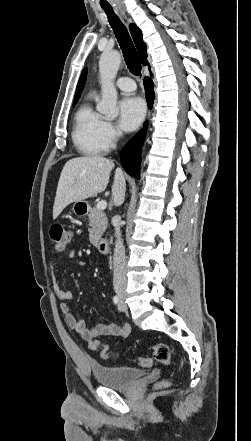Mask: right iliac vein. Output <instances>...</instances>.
Listing matches in <instances>:
<instances>
[{"mask_svg":"<svg viewBox=\"0 0 251 441\" xmlns=\"http://www.w3.org/2000/svg\"><path fill=\"white\" fill-rule=\"evenodd\" d=\"M119 296H120L121 299H123V295L122 294H119Z\"/></svg>","mask_w":251,"mask_h":441,"instance_id":"63e3f726","label":"right iliac vein"}]
</instances>
